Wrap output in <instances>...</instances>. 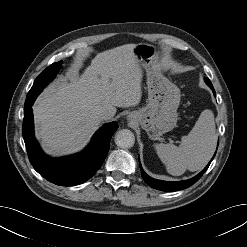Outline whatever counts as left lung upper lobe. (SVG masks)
<instances>
[{"instance_id": "obj_1", "label": "left lung upper lobe", "mask_w": 247, "mask_h": 247, "mask_svg": "<svg viewBox=\"0 0 247 247\" xmlns=\"http://www.w3.org/2000/svg\"><path fill=\"white\" fill-rule=\"evenodd\" d=\"M206 79L210 82V80L208 78H206Z\"/></svg>"}]
</instances>
